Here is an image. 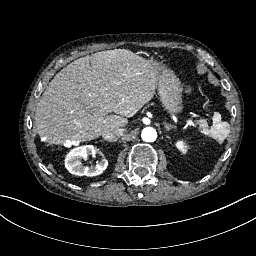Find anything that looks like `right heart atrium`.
Returning a JSON list of instances; mask_svg holds the SVG:
<instances>
[{"mask_svg": "<svg viewBox=\"0 0 256 256\" xmlns=\"http://www.w3.org/2000/svg\"><path fill=\"white\" fill-rule=\"evenodd\" d=\"M112 109H113V106L109 105L108 110H112Z\"/></svg>", "mask_w": 256, "mask_h": 256, "instance_id": "right-heart-atrium-1", "label": "right heart atrium"}]
</instances>
